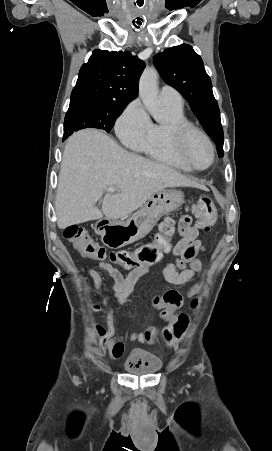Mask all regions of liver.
<instances>
[{
    "mask_svg": "<svg viewBox=\"0 0 272 451\" xmlns=\"http://www.w3.org/2000/svg\"><path fill=\"white\" fill-rule=\"evenodd\" d=\"M109 186H116L118 192H107L98 210L95 204ZM176 186L199 188L200 184L165 164L130 154L100 130H80L68 138L61 162L55 202L57 226L63 229L103 216L107 220L125 218L154 192Z\"/></svg>",
    "mask_w": 272,
    "mask_h": 451,
    "instance_id": "6515ba94",
    "label": "liver"
}]
</instances>
